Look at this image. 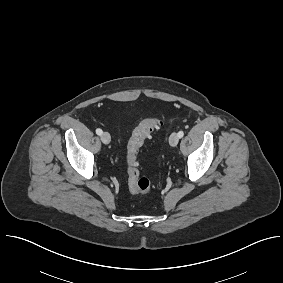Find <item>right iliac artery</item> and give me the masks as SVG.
Instances as JSON below:
<instances>
[{"label":"right iliac artery","mask_w":283,"mask_h":283,"mask_svg":"<svg viewBox=\"0 0 283 283\" xmlns=\"http://www.w3.org/2000/svg\"><path fill=\"white\" fill-rule=\"evenodd\" d=\"M96 133H97L98 135H102L103 131H102L100 128H98V129H96Z\"/></svg>","instance_id":"obj_1"}]
</instances>
